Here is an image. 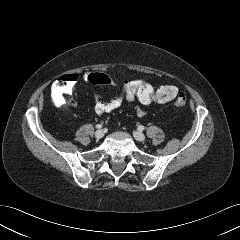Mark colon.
I'll use <instances>...</instances> for the list:
<instances>
[{
  "label": "colon",
  "instance_id": "5ec220e1",
  "mask_svg": "<svg viewBox=\"0 0 240 240\" xmlns=\"http://www.w3.org/2000/svg\"><path fill=\"white\" fill-rule=\"evenodd\" d=\"M74 75L58 78L52 86V97L56 104L63 105L71 94ZM87 80L94 85H112L114 81L107 74L91 73ZM128 93L140 104L173 102L176 108H183L187 103V96L179 92L173 85L154 86L142 78H135L124 82Z\"/></svg>",
  "mask_w": 240,
  "mask_h": 240
}]
</instances>
